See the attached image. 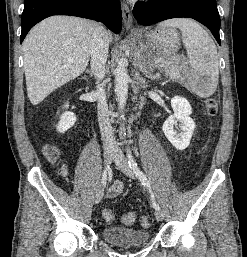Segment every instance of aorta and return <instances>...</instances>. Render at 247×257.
<instances>
[{
  "label": "aorta",
  "instance_id": "aorta-1",
  "mask_svg": "<svg viewBox=\"0 0 247 257\" xmlns=\"http://www.w3.org/2000/svg\"><path fill=\"white\" fill-rule=\"evenodd\" d=\"M129 75L127 71V60L121 58L115 70V93L117 96L118 107L123 110L128 97ZM124 130V128H122Z\"/></svg>",
  "mask_w": 247,
  "mask_h": 257
}]
</instances>
